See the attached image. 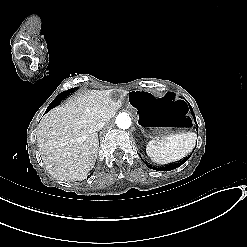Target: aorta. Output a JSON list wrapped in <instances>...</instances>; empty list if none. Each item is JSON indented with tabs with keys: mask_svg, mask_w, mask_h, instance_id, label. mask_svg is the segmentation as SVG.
Masks as SVG:
<instances>
[{
	"mask_svg": "<svg viewBox=\"0 0 247 247\" xmlns=\"http://www.w3.org/2000/svg\"><path fill=\"white\" fill-rule=\"evenodd\" d=\"M131 118L127 113H120L116 117V125L120 129H128L131 126Z\"/></svg>",
	"mask_w": 247,
	"mask_h": 247,
	"instance_id": "1",
	"label": "aorta"
}]
</instances>
